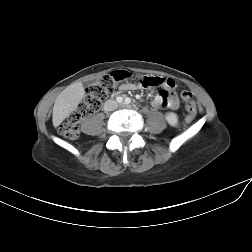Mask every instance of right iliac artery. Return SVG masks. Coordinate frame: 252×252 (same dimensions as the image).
Instances as JSON below:
<instances>
[{"mask_svg": "<svg viewBox=\"0 0 252 252\" xmlns=\"http://www.w3.org/2000/svg\"><path fill=\"white\" fill-rule=\"evenodd\" d=\"M116 100H117L118 103H122L123 102V98L122 97H117Z\"/></svg>", "mask_w": 252, "mask_h": 252, "instance_id": "obj_1", "label": "right iliac artery"}]
</instances>
